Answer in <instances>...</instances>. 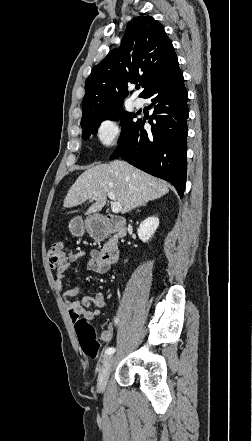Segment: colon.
Instances as JSON below:
<instances>
[{
	"label": "colon",
	"instance_id": "1",
	"mask_svg": "<svg viewBox=\"0 0 252 441\" xmlns=\"http://www.w3.org/2000/svg\"><path fill=\"white\" fill-rule=\"evenodd\" d=\"M49 263L52 268L59 267L67 258L66 248L62 242L52 244L48 250ZM75 330L82 351L89 358H97L100 353V344L96 339L95 329L86 319L75 322Z\"/></svg>",
	"mask_w": 252,
	"mask_h": 441
}]
</instances>
